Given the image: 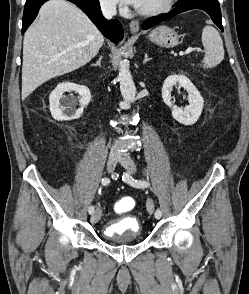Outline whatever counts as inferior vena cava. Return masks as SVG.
I'll use <instances>...</instances> for the list:
<instances>
[{"label":"inferior vena cava","mask_w":249,"mask_h":294,"mask_svg":"<svg viewBox=\"0 0 249 294\" xmlns=\"http://www.w3.org/2000/svg\"><path fill=\"white\" fill-rule=\"evenodd\" d=\"M101 10L107 19L113 18L116 15V0H101Z\"/></svg>","instance_id":"inferior-vena-cava-1"}]
</instances>
